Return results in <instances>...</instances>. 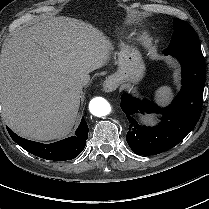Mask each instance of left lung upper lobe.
Wrapping results in <instances>:
<instances>
[{"instance_id":"obj_1","label":"left lung upper lobe","mask_w":209,"mask_h":209,"mask_svg":"<svg viewBox=\"0 0 209 209\" xmlns=\"http://www.w3.org/2000/svg\"><path fill=\"white\" fill-rule=\"evenodd\" d=\"M194 45H200V42L192 26L179 18L174 19L172 39L168 48L163 52H172Z\"/></svg>"}]
</instances>
